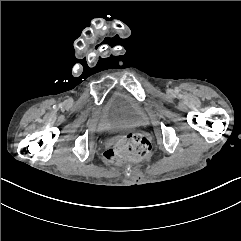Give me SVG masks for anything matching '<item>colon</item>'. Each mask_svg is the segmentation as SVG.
<instances>
[{
	"instance_id": "1",
	"label": "colon",
	"mask_w": 241,
	"mask_h": 241,
	"mask_svg": "<svg viewBox=\"0 0 241 241\" xmlns=\"http://www.w3.org/2000/svg\"><path fill=\"white\" fill-rule=\"evenodd\" d=\"M152 145L147 137L130 133L117 140L115 145L102 153V160L106 164L123 165L129 162H139L148 157Z\"/></svg>"
}]
</instances>
